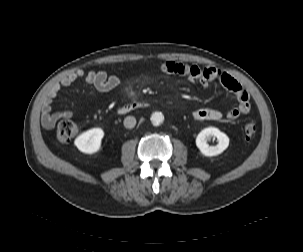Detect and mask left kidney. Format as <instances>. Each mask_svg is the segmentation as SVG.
<instances>
[{
	"mask_svg": "<svg viewBox=\"0 0 303 252\" xmlns=\"http://www.w3.org/2000/svg\"><path fill=\"white\" fill-rule=\"evenodd\" d=\"M209 137H216L218 139V144L216 146H209L207 144V139ZM196 145L203 155L208 157L216 156L221 154L229 146V138L218 128L207 127L197 135Z\"/></svg>",
	"mask_w": 303,
	"mask_h": 252,
	"instance_id": "obj_1",
	"label": "left kidney"
}]
</instances>
